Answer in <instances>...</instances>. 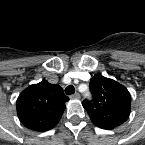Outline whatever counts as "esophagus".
<instances>
[{
  "mask_svg": "<svg viewBox=\"0 0 145 145\" xmlns=\"http://www.w3.org/2000/svg\"><path fill=\"white\" fill-rule=\"evenodd\" d=\"M70 98L73 99V100H78V99H80V94L75 93V94L71 95Z\"/></svg>",
  "mask_w": 145,
  "mask_h": 145,
  "instance_id": "1",
  "label": "esophagus"
}]
</instances>
